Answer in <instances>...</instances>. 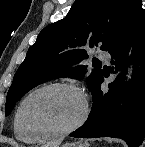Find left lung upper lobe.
<instances>
[{
  "label": "left lung upper lobe",
  "instance_id": "1",
  "mask_svg": "<svg viewBox=\"0 0 145 147\" xmlns=\"http://www.w3.org/2000/svg\"><path fill=\"white\" fill-rule=\"evenodd\" d=\"M131 0H76L69 13L45 27L15 73L7 94L5 115L29 90L46 81L70 77L82 79L88 59L86 48L101 44L108 51L123 24ZM93 69L87 86L93 91L102 77Z\"/></svg>",
  "mask_w": 145,
  "mask_h": 147
}]
</instances>
